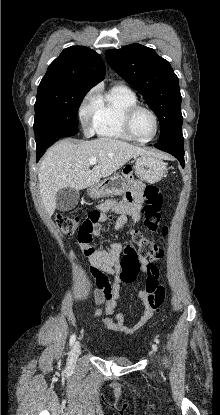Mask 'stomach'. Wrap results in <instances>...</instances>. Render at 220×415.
Returning <instances> with one entry per match:
<instances>
[{
    "mask_svg": "<svg viewBox=\"0 0 220 415\" xmlns=\"http://www.w3.org/2000/svg\"><path fill=\"white\" fill-rule=\"evenodd\" d=\"M135 173L148 183L158 182L166 172L165 163L152 156L142 155L136 159ZM127 189V177L120 174H114L97 184L89 187L88 194L93 198L119 196Z\"/></svg>",
    "mask_w": 220,
    "mask_h": 415,
    "instance_id": "obj_1",
    "label": "stomach"
}]
</instances>
